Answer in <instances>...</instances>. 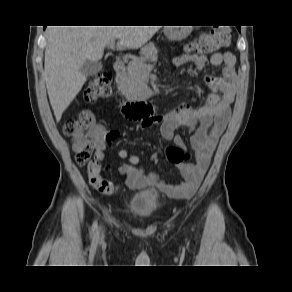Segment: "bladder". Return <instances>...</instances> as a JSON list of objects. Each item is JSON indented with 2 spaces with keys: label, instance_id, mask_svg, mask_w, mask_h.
Segmentation results:
<instances>
[{
  "label": "bladder",
  "instance_id": "obj_1",
  "mask_svg": "<svg viewBox=\"0 0 292 292\" xmlns=\"http://www.w3.org/2000/svg\"><path fill=\"white\" fill-rule=\"evenodd\" d=\"M159 194L156 190L148 189L136 193L128 203L130 214L145 217L158 208Z\"/></svg>",
  "mask_w": 292,
  "mask_h": 292
}]
</instances>
